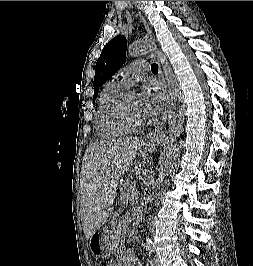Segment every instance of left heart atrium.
I'll return each instance as SVG.
<instances>
[{"instance_id": "obj_1", "label": "left heart atrium", "mask_w": 253, "mask_h": 266, "mask_svg": "<svg viewBox=\"0 0 253 266\" xmlns=\"http://www.w3.org/2000/svg\"><path fill=\"white\" fill-rule=\"evenodd\" d=\"M165 100L163 90L153 83L147 84L142 88L139 95L140 111L144 118H151L158 114Z\"/></svg>"}]
</instances>
